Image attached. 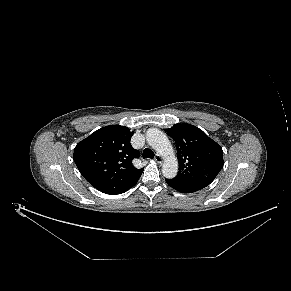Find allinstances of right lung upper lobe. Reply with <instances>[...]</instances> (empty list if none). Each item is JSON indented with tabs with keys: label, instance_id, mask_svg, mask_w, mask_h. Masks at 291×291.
<instances>
[{
	"label": "right lung upper lobe",
	"instance_id": "obj_1",
	"mask_svg": "<svg viewBox=\"0 0 291 291\" xmlns=\"http://www.w3.org/2000/svg\"><path fill=\"white\" fill-rule=\"evenodd\" d=\"M133 134L126 126H106L76 145L73 159L94 188L115 195L137 183L143 168L132 164L139 157V151L130 144Z\"/></svg>",
	"mask_w": 291,
	"mask_h": 291
}]
</instances>
